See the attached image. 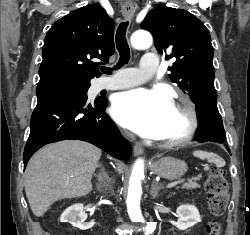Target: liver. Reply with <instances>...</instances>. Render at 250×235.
<instances>
[{
  "label": "liver",
  "instance_id": "1",
  "mask_svg": "<svg viewBox=\"0 0 250 235\" xmlns=\"http://www.w3.org/2000/svg\"><path fill=\"white\" fill-rule=\"evenodd\" d=\"M100 157L99 148L78 140L40 149L25 171V192L33 214L41 217L58 200L90 193ZM117 168L119 173L123 171L122 164H117Z\"/></svg>",
  "mask_w": 250,
  "mask_h": 235
}]
</instances>
